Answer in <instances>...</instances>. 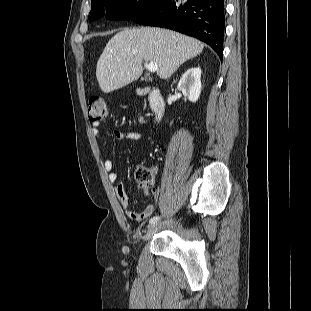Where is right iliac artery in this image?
<instances>
[{"mask_svg":"<svg viewBox=\"0 0 311 311\" xmlns=\"http://www.w3.org/2000/svg\"><path fill=\"white\" fill-rule=\"evenodd\" d=\"M160 220V217L159 216H154L150 219L149 223L150 224H155L157 223L158 221Z\"/></svg>","mask_w":311,"mask_h":311,"instance_id":"obj_1","label":"right iliac artery"}]
</instances>
